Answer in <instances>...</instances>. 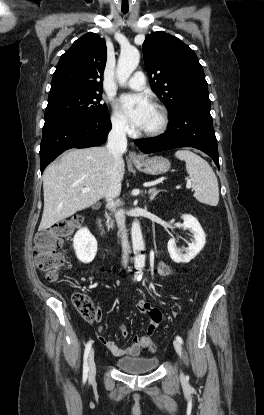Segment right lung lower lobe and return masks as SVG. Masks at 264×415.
Wrapping results in <instances>:
<instances>
[{
	"instance_id": "right-lung-lower-lobe-1",
	"label": "right lung lower lobe",
	"mask_w": 264,
	"mask_h": 415,
	"mask_svg": "<svg viewBox=\"0 0 264 415\" xmlns=\"http://www.w3.org/2000/svg\"><path fill=\"white\" fill-rule=\"evenodd\" d=\"M111 130L109 115L63 118L45 122L40 146L41 173L70 148L100 146Z\"/></svg>"
}]
</instances>
